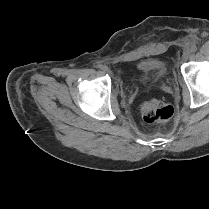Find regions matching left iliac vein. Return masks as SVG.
<instances>
[{
  "mask_svg": "<svg viewBox=\"0 0 209 209\" xmlns=\"http://www.w3.org/2000/svg\"><path fill=\"white\" fill-rule=\"evenodd\" d=\"M190 57V51L189 50H186L184 51L183 55H182V60L183 61H187Z\"/></svg>",
  "mask_w": 209,
  "mask_h": 209,
  "instance_id": "4c4485c4",
  "label": "left iliac vein"
}]
</instances>
